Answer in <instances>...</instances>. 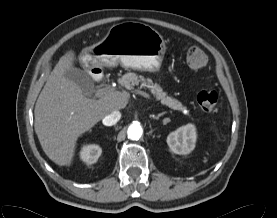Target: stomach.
Returning a JSON list of instances; mask_svg holds the SVG:
<instances>
[{
    "label": "stomach",
    "mask_w": 277,
    "mask_h": 218,
    "mask_svg": "<svg viewBox=\"0 0 277 218\" xmlns=\"http://www.w3.org/2000/svg\"><path fill=\"white\" fill-rule=\"evenodd\" d=\"M166 52L161 34L151 26L125 21L110 28L98 43L84 48L80 62L86 67L116 66L157 72Z\"/></svg>",
    "instance_id": "0dacf381"
}]
</instances>
